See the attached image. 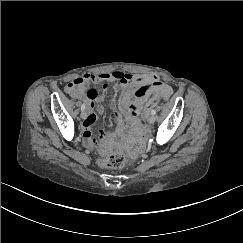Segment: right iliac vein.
<instances>
[{"label":"right iliac vein","instance_id":"obj_1","mask_svg":"<svg viewBox=\"0 0 243 243\" xmlns=\"http://www.w3.org/2000/svg\"><path fill=\"white\" fill-rule=\"evenodd\" d=\"M85 117H86V111L83 110V111L81 112V118L84 119Z\"/></svg>","mask_w":243,"mask_h":243}]
</instances>
